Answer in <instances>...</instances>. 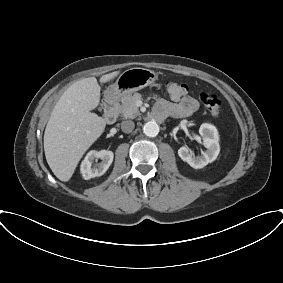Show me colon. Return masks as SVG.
Masks as SVG:
<instances>
[{"mask_svg":"<svg viewBox=\"0 0 283 283\" xmlns=\"http://www.w3.org/2000/svg\"><path fill=\"white\" fill-rule=\"evenodd\" d=\"M166 90L171 98H180L187 92L186 84L178 81H169L166 84ZM201 102L205 109L211 114H218L221 108L220 99L212 93H202L200 95Z\"/></svg>","mask_w":283,"mask_h":283,"instance_id":"obj_1","label":"colon"}]
</instances>
